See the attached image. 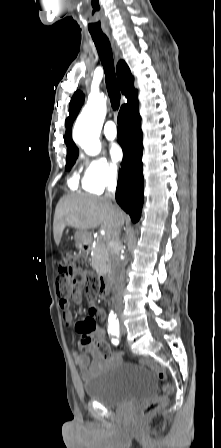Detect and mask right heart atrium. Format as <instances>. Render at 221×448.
Listing matches in <instances>:
<instances>
[{"mask_svg":"<svg viewBox=\"0 0 221 448\" xmlns=\"http://www.w3.org/2000/svg\"><path fill=\"white\" fill-rule=\"evenodd\" d=\"M119 178L117 166L104 157H92L85 160L82 186L92 193H100L114 185Z\"/></svg>","mask_w":221,"mask_h":448,"instance_id":"d8ad5b80","label":"right heart atrium"}]
</instances>
